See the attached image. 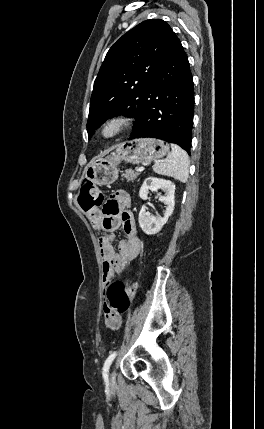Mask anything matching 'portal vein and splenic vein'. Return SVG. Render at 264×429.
Returning <instances> with one entry per match:
<instances>
[{"instance_id":"obj_1","label":"portal vein and splenic vein","mask_w":264,"mask_h":429,"mask_svg":"<svg viewBox=\"0 0 264 429\" xmlns=\"http://www.w3.org/2000/svg\"><path fill=\"white\" fill-rule=\"evenodd\" d=\"M137 171H138V172H142V171H144V167H143V166H141V167L137 168Z\"/></svg>"}]
</instances>
